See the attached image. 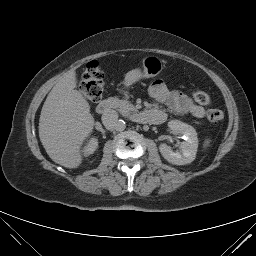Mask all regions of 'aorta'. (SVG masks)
Returning a JSON list of instances; mask_svg holds the SVG:
<instances>
[{
  "label": "aorta",
  "mask_w": 256,
  "mask_h": 256,
  "mask_svg": "<svg viewBox=\"0 0 256 256\" xmlns=\"http://www.w3.org/2000/svg\"><path fill=\"white\" fill-rule=\"evenodd\" d=\"M125 128H126L125 121L124 120H119L116 130L117 131H123V130H125Z\"/></svg>",
  "instance_id": "aorta-1"
}]
</instances>
